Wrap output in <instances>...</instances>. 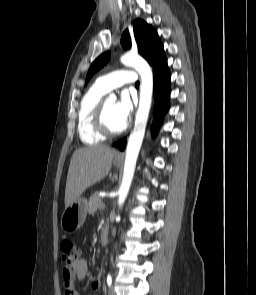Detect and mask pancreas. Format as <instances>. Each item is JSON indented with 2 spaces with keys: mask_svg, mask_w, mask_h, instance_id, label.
<instances>
[{
  "mask_svg": "<svg viewBox=\"0 0 256 295\" xmlns=\"http://www.w3.org/2000/svg\"><path fill=\"white\" fill-rule=\"evenodd\" d=\"M104 208V203L102 202L101 198L98 196V194H93L90 197L89 203H88V209L87 211L89 214L95 213L99 209Z\"/></svg>",
  "mask_w": 256,
  "mask_h": 295,
  "instance_id": "obj_1",
  "label": "pancreas"
}]
</instances>
